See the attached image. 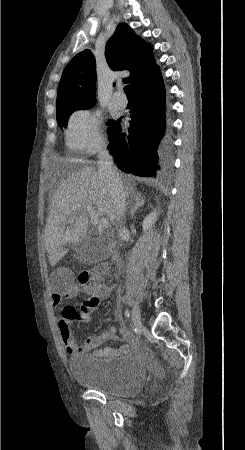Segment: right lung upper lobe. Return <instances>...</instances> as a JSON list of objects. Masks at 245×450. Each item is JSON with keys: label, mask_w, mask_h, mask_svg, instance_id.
I'll return each mask as SVG.
<instances>
[{"label": "right lung upper lobe", "mask_w": 245, "mask_h": 450, "mask_svg": "<svg viewBox=\"0 0 245 450\" xmlns=\"http://www.w3.org/2000/svg\"><path fill=\"white\" fill-rule=\"evenodd\" d=\"M106 60L112 70H128L125 83L134 86L158 66L149 43H146L126 24L121 23L109 39ZM96 65L89 50L78 53L66 66L59 84L57 105L66 103L95 104Z\"/></svg>", "instance_id": "obj_1"}]
</instances>
